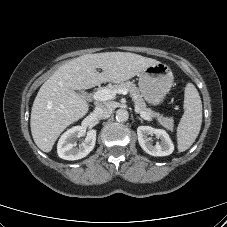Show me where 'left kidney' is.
<instances>
[{
    "label": "left kidney",
    "mask_w": 227,
    "mask_h": 227,
    "mask_svg": "<svg viewBox=\"0 0 227 227\" xmlns=\"http://www.w3.org/2000/svg\"><path fill=\"white\" fill-rule=\"evenodd\" d=\"M156 135L160 138L161 142H157L156 145L151 143L149 135ZM138 142L141 148L152 156H167L170 155L174 150V145L163 129H155L151 126H139L137 128Z\"/></svg>",
    "instance_id": "5707ae66"
}]
</instances>
